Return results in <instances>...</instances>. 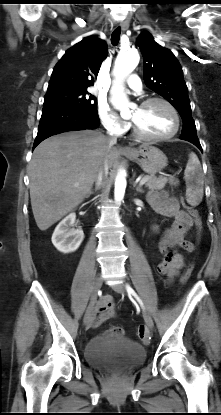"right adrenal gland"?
<instances>
[{"mask_svg": "<svg viewBox=\"0 0 221 415\" xmlns=\"http://www.w3.org/2000/svg\"><path fill=\"white\" fill-rule=\"evenodd\" d=\"M96 190H97V188L95 189V191H96ZM93 193H94V192H93V191H91V192H90V195H91V194H93Z\"/></svg>", "mask_w": 221, "mask_h": 415, "instance_id": "right-adrenal-gland-1", "label": "right adrenal gland"}]
</instances>
